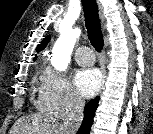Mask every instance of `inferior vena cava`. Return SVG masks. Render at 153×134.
I'll list each match as a JSON object with an SVG mask.
<instances>
[{
	"mask_svg": "<svg viewBox=\"0 0 153 134\" xmlns=\"http://www.w3.org/2000/svg\"><path fill=\"white\" fill-rule=\"evenodd\" d=\"M85 102L79 97L73 99L69 112L62 124L64 134H76L83 120Z\"/></svg>",
	"mask_w": 153,
	"mask_h": 134,
	"instance_id": "1",
	"label": "inferior vena cava"
}]
</instances>
